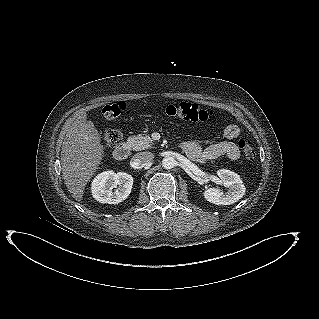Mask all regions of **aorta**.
<instances>
[{
	"mask_svg": "<svg viewBox=\"0 0 319 319\" xmlns=\"http://www.w3.org/2000/svg\"><path fill=\"white\" fill-rule=\"evenodd\" d=\"M176 165V160L171 156H166L162 160V166L165 169H171Z\"/></svg>",
	"mask_w": 319,
	"mask_h": 319,
	"instance_id": "1",
	"label": "aorta"
}]
</instances>
